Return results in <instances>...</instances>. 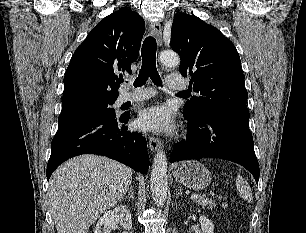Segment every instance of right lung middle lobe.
Here are the masks:
<instances>
[{
	"label": "right lung middle lobe",
	"instance_id": "1",
	"mask_svg": "<svg viewBox=\"0 0 306 233\" xmlns=\"http://www.w3.org/2000/svg\"><path fill=\"white\" fill-rule=\"evenodd\" d=\"M115 100L85 99L62 104V112L58 119V127L67 123L94 115H115L111 105Z\"/></svg>",
	"mask_w": 306,
	"mask_h": 233
}]
</instances>
